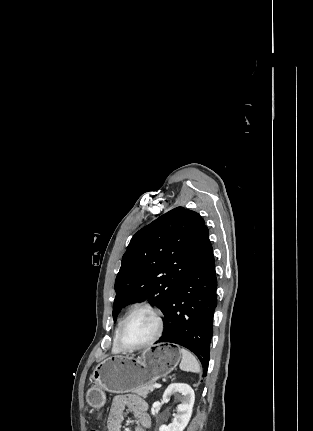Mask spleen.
Masks as SVG:
<instances>
[{"label":"spleen","mask_w":313,"mask_h":431,"mask_svg":"<svg viewBox=\"0 0 313 431\" xmlns=\"http://www.w3.org/2000/svg\"><path fill=\"white\" fill-rule=\"evenodd\" d=\"M182 360L180 363V369L185 372L199 373L201 371L200 365L196 357L188 350L180 349Z\"/></svg>","instance_id":"1"}]
</instances>
